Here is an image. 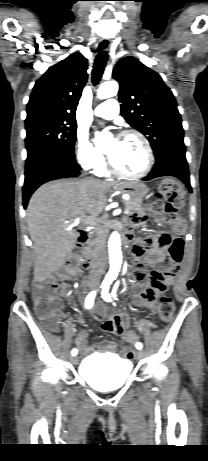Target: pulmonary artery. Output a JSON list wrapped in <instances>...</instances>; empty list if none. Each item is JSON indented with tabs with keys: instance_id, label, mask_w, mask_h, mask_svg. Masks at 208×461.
<instances>
[{
	"instance_id": "obj_1",
	"label": "pulmonary artery",
	"mask_w": 208,
	"mask_h": 461,
	"mask_svg": "<svg viewBox=\"0 0 208 461\" xmlns=\"http://www.w3.org/2000/svg\"><path fill=\"white\" fill-rule=\"evenodd\" d=\"M119 113V104L115 99H109L94 109V115L103 119H113Z\"/></svg>"
}]
</instances>
